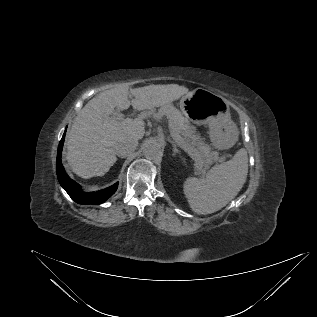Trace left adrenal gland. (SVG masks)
Listing matches in <instances>:
<instances>
[{"label":"left adrenal gland","instance_id":"obj_1","mask_svg":"<svg viewBox=\"0 0 317 317\" xmlns=\"http://www.w3.org/2000/svg\"><path fill=\"white\" fill-rule=\"evenodd\" d=\"M170 143L172 144L173 146V155H176V153H180V151L178 150L177 148V145L174 141H170Z\"/></svg>","mask_w":317,"mask_h":317}]
</instances>
